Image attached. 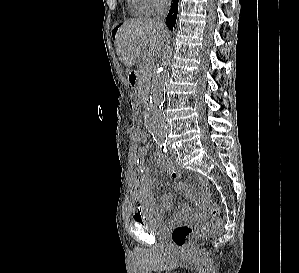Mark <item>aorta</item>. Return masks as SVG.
Here are the masks:
<instances>
[{
    "instance_id": "762f6f07",
    "label": "aorta",
    "mask_w": 299,
    "mask_h": 273,
    "mask_svg": "<svg viewBox=\"0 0 299 273\" xmlns=\"http://www.w3.org/2000/svg\"><path fill=\"white\" fill-rule=\"evenodd\" d=\"M172 49H167L162 57L161 66L154 75L150 102L145 112V127L155 141L166 140L168 124L163 111L164 90L169 79L168 65Z\"/></svg>"
}]
</instances>
